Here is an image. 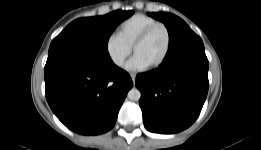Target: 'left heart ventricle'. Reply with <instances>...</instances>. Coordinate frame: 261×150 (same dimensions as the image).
Listing matches in <instances>:
<instances>
[{
	"instance_id": "1",
	"label": "left heart ventricle",
	"mask_w": 261,
	"mask_h": 150,
	"mask_svg": "<svg viewBox=\"0 0 261 150\" xmlns=\"http://www.w3.org/2000/svg\"><path fill=\"white\" fill-rule=\"evenodd\" d=\"M166 45V33L162 28H158L145 42L138 46L135 54L140 56L150 66L162 57Z\"/></svg>"
}]
</instances>
